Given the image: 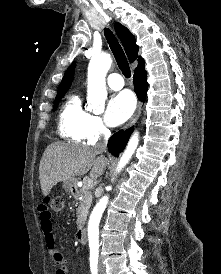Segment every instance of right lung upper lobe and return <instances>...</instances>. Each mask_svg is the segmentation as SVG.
Returning a JSON list of instances; mask_svg holds the SVG:
<instances>
[{
	"instance_id": "obj_1",
	"label": "right lung upper lobe",
	"mask_w": 221,
	"mask_h": 274,
	"mask_svg": "<svg viewBox=\"0 0 221 274\" xmlns=\"http://www.w3.org/2000/svg\"><path fill=\"white\" fill-rule=\"evenodd\" d=\"M115 31L121 40L129 61L134 62L136 59H138V66L136 67L135 71L143 69L145 62L142 57L138 56L139 47L136 45L135 37L126 27L118 22L115 23ZM74 70L75 62L69 66L66 73L64 74L63 79L59 85L57 95L65 94V92L70 88L74 76Z\"/></svg>"
}]
</instances>
